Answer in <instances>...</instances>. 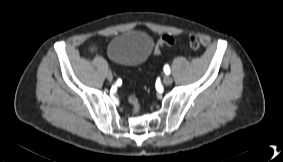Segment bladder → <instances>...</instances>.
<instances>
[{
  "label": "bladder",
  "instance_id": "1",
  "mask_svg": "<svg viewBox=\"0 0 283 162\" xmlns=\"http://www.w3.org/2000/svg\"><path fill=\"white\" fill-rule=\"evenodd\" d=\"M153 48V39L148 34L130 30L117 35L109 43L108 54L118 63L138 65L149 57Z\"/></svg>",
  "mask_w": 283,
  "mask_h": 162
}]
</instances>
